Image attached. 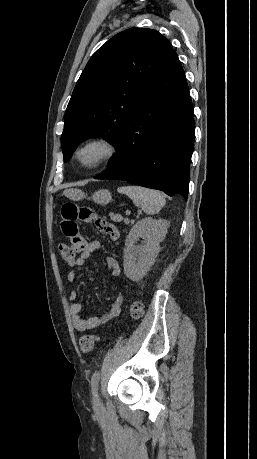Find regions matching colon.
<instances>
[{
    "label": "colon",
    "instance_id": "5ec220e1",
    "mask_svg": "<svg viewBox=\"0 0 257 459\" xmlns=\"http://www.w3.org/2000/svg\"><path fill=\"white\" fill-rule=\"evenodd\" d=\"M65 234V232H64ZM70 243H62L59 246L61 258L66 263H73L76 259V251L70 250ZM143 314V305L139 299L132 302L130 306V315L134 319H138ZM99 341L98 336L87 334L80 338L79 346L82 352L90 353L94 350L95 345Z\"/></svg>",
    "mask_w": 257,
    "mask_h": 459
}]
</instances>
